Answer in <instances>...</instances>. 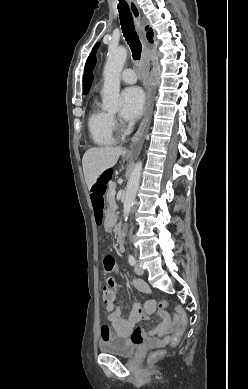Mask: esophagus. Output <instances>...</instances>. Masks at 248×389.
Returning a JSON list of instances; mask_svg holds the SVG:
<instances>
[{
	"label": "esophagus",
	"mask_w": 248,
	"mask_h": 389,
	"mask_svg": "<svg viewBox=\"0 0 248 389\" xmlns=\"http://www.w3.org/2000/svg\"><path fill=\"white\" fill-rule=\"evenodd\" d=\"M127 1H128V4H129L131 13H132V15L134 17L136 28H137L138 32L140 33V35L143 37V35H142L143 26H142V24L140 22V17H141L140 10H139V8H138V6H137V4H136V2L134 0H127ZM143 49H144V52L148 51L144 41H143ZM151 108H152V98H151L150 89H149L148 90V99H147L145 116H144V118H143V120H142V122L140 124V127H139L138 131L135 134L134 141H137L143 135L144 130H145V128H146V126H147V124L149 122Z\"/></svg>",
	"instance_id": "esophagus-1"
}]
</instances>
